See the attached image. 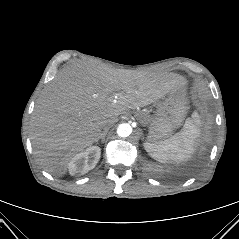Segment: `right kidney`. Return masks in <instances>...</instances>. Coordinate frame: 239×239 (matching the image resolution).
Instances as JSON below:
<instances>
[{
	"label": "right kidney",
	"instance_id": "right-kidney-1",
	"mask_svg": "<svg viewBox=\"0 0 239 239\" xmlns=\"http://www.w3.org/2000/svg\"><path fill=\"white\" fill-rule=\"evenodd\" d=\"M100 156L101 149L98 146L89 147L76 154L68 164L69 173L77 176L86 174L97 165Z\"/></svg>",
	"mask_w": 239,
	"mask_h": 239
}]
</instances>
